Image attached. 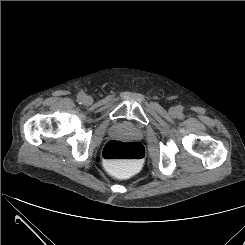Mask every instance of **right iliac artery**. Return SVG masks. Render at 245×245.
<instances>
[{
  "label": "right iliac artery",
  "instance_id": "right-iliac-artery-1",
  "mask_svg": "<svg viewBox=\"0 0 245 245\" xmlns=\"http://www.w3.org/2000/svg\"><path fill=\"white\" fill-rule=\"evenodd\" d=\"M77 99H78L79 102H82L84 100V94L83 93H79Z\"/></svg>",
  "mask_w": 245,
  "mask_h": 245
}]
</instances>
